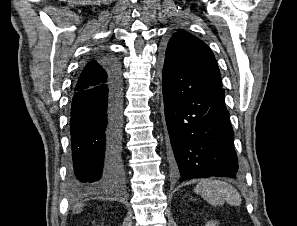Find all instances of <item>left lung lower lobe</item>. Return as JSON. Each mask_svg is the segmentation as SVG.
Segmentation results:
<instances>
[{
    "mask_svg": "<svg viewBox=\"0 0 297 226\" xmlns=\"http://www.w3.org/2000/svg\"><path fill=\"white\" fill-rule=\"evenodd\" d=\"M165 119L179 181L240 175L221 87L196 90L163 71Z\"/></svg>",
    "mask_w": 297,
    "mask_h": 226,
    "instance_id": "obj_1",
    "label": "left lung lower lobe"
}]
</instances>
